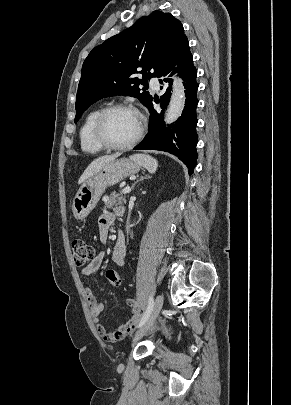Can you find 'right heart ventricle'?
Returning a JSON list of instances; mask_svg holds the SVG:
<instances>
[{
  "mask_svg": "<svg viewBox=\"0 0 291 405\" xmlns=\"http://www.w3.org/2000/svg\"><path fill=\"white\" fill-rule=\"evenodd\" d=\"M100 110L101 109L99 108L91 110L85 116L79 130V142L81 150L88 154H96L104 149L95 142L92 136V126Z\"/></svg>",
  "mask_w": 291,
  "mask_h": 405,
  "instance_id": "e07e8e85",
  "label": "right heart ventricle"
}]
</instances>
